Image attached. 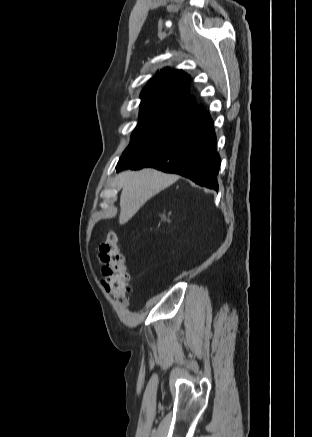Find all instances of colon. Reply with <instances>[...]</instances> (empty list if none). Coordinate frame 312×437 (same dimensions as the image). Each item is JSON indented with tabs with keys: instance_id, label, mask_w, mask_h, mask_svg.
<instances>
[{
	"instance_id": "colon-1",
	"label": "colon",
	"mask_w": 312,
	"mask_h": 437,
	"mask_svg": "<svg viewBox=\"0 0 312 437\" xmlns=\"http://www.w3.org/2000/svg\"><path fill=\"white\" fill-rule=\"evenodd\" d=\"M102 267V286L118 305L124 307L130 291L129 273L117 235L109 232L99 245Z\"/></svg>"
}]
</instances>
